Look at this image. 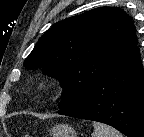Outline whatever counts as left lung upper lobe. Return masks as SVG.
Masks as SVG:
<instances>
[{"label":"left lung upper lobe","instance_id":"5c2ea615","mask_svg":"<svg viewBox=\"0 0 144 137\" xmlns=\"http://www.w3.org/2000/svg\"><path fill=\"white\" fill-rule=\"evenodd\" d=\"M135 25L118 7H100L54 24L27 57V69L42 68L64 87L58 107L85 96L137 45Z\"/></svg>","mask_w":144,"mask_h":137}]
</instances>
